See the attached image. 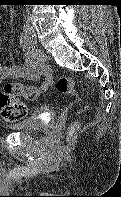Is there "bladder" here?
Wrapping results in <instances>:
<instances>
[{
	"mask_svg": "<svg viewBox=\"0 0 121 197\" xmlns=\"http://www.w3.org/2000/svg\"><path fill=\"white\" fill-rule=\"evenodd\" d=\"M55 119V112L49 107H40L26 119L10 124L11 130L32 132L41 130Z\"/></svg>",
	"mask_w": 121,
	"mask_h": 197,
	"instance_id": "bladder-1",
	"label": "bladder"
}]
</instances>
